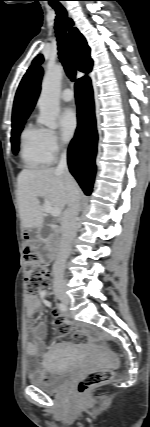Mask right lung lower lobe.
Here are the masks:
<instances>
[{
  "instance_id": "right-lung-lower-lobe-1",
  "label": "right lung lower lobe",
  "mask_w": 150,
  "mask_h": 427,
  "mask_svg": "<svg viewBox=\"0 0 150 427\" xmlns=\"http://www.w3.org/2000/svg\"><path fill=\"white\" fill-rule=\"evenodd\" d=\"M78 107V127L68 148L70 172L85 192L90 195L95 175L97 132L91 80L79 79L75 84Z\"/></svg>"
}]
</instances>
